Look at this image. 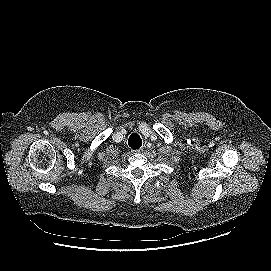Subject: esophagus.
I'll return each mask as SVG.
<instances>
[{
  "label": "esophagus",
  "instance_id": "obj_1",
  "mask_svg": "<svg viewBox=\"0 0 271 271\" xmlns=\"http://www.w3.org/2000/svg\"><path fill=\"white\" fill-rule=\"evenodd\" d=\"M141 151H142V149L133 150L132 153H140Z\"/></svg>",
  "mask_w": 271,
  "mask_h": 271
}]
</instances>
